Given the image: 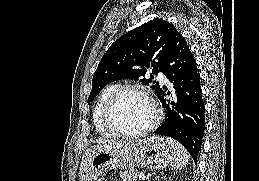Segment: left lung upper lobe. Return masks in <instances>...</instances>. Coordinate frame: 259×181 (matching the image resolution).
I'll return each mask as SVG.
<instances>
[{
  "mask_svg": "<svg viewBox=\"0 0 259 181\" xmlns=\"http://www.w3.org/2000/svg\"><path fill=\"white\" fill-rule=\"evenodd\" d=\"M181 34L172 24L162 19L151 20L117 39L103 55L92 79L90 103L107 84L121 79L139 80L148 71L165 74L171 49ZM141 79L144 84L152 82ZM160 93L162 86L153 81L151 86Z\"/></svg>",
  "mask_w": 259,
  "mask_h": 181,
  "instance_id": "1",
  "label": "left lung upper lobe"
}]
</instances>
